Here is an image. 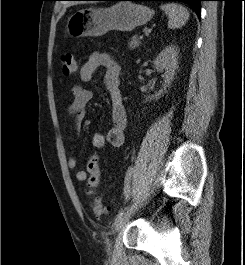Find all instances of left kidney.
<instances>
[{
  "label": "left kidney",
  "instance_id": "5707ae66",
  "mask_svg": "<svg viewBox=\"0 0 245 265\" xmlns=\"http://www.w3.org/2000/svg\"><path fill=\"white\" fill-rule=\"evenodd\" d=\"M154 67L161 72H164V84L163 89L156 92L151 97H147V99H158L166 89L170 87L176 70L178 69V48L174 45L167 46L163 49L159 55L154 60Z\"/></svg>",
  "mask_w": 245,
  "mask_h": 265
}]
</instances>
